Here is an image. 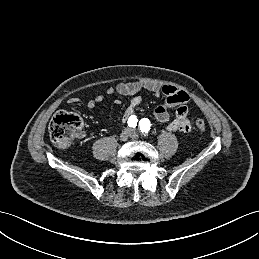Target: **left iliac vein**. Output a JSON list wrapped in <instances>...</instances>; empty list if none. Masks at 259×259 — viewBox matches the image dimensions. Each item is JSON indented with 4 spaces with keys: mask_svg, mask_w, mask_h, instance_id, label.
Instances as JSON below:
<instances>
[{
    "mask_svg": "<svg viewBox=\"0 0 259 259\" xmlns=\"http://www.w3.org/2000/svg\"><path fill=\"white\" fill-rule=\"evenodd\" d=\"M130 137L133 138V139H137L138 138V133L135 130H132Z\"/></svg>",
    "mask_w": 259,
    "mask_h": 259,
    "instance_id": "obj_1",
    "label": "left iliac vein"
}]
</instances>
